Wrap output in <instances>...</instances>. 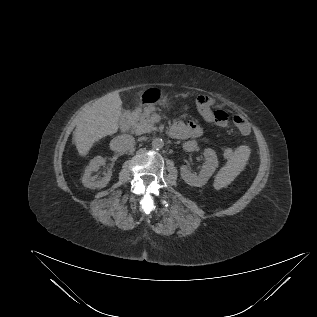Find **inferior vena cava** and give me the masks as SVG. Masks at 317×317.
Masks as SVG:
<instances>
[{"mask_svg":"<svg viewBox=\"0 0 317 317\" xmlns=\"http://www.w3.org/2000/svg\"><path fill=\"white\" fill-rule=\"evenodd\" d=\"M135 145V139L131 135L123 134L113 138L110 142V148L116 152H126Z\"/></svg>","mask_w":317,"mask_h":317,"instance_id":"1","label":"inferior vena cava"}]
</instances>
